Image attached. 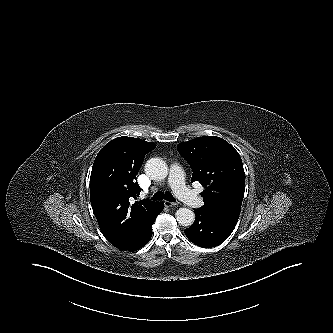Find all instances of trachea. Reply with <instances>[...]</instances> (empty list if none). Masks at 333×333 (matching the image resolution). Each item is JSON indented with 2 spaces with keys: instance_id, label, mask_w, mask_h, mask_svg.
Segmentation results:
<instances>
[{
  "instance_id": "1",
  "label": "trachea",
  "mask_w": 333,
  "mask_h": 333,
  "mask_svg": "<svg viewBox=\"0 0 333 333\" xmlns=\"http://www.w3.org/2000/svg\"><path fill=\"white\" fill-rule=\"evenodd\" d=\"M165 199L167 201L170 202H175V198L173 197V195L170 192H157L153 195L152 200H162Z\"/></svg>"
}]
</instances>
